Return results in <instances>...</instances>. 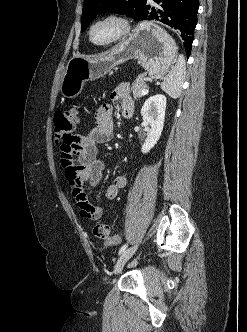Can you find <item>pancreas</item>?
Returning <instances> with one entry per match:
<instances>
[{
  "label": "pancreas",
  "instance_id": "cf45deb5",
  "mask_svg": "<svg viewBox=\"0 0 247 332\" xmlns=\"http://www.w3.org/2000/svg\"><path fill=\"white\" fill-rule=\"evenodd\" d=\"M147 88V84L145 82V77L143 75H140L137 77L136 81L132 85V95L133 98L139 99L142 95V90Z\"/></svg>",
  "mask_w": 247,
  "mask_h": 332
}]
</instances>
